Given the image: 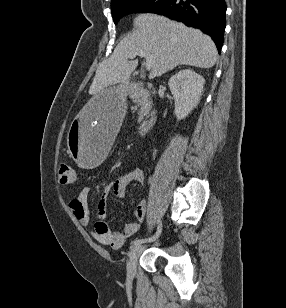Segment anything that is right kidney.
<instances>
[{
    "label": "right kidney",
    "instance_id": "1",
    "mask_svg": "<svg viewBox=\"0 0 286 308\" xmlns=\"http://www.w3.org/2000/svg\"><path fill=\"white\" fill-rule=\"evenodd\" d=\"M204 78L190 69L173 75L168 84L175 99L174 113L178 120L184 119L197 106L202 95Z\"/></svg>",
    "mask_w": 286,
    "mask_h": 308
}]
</instances>
